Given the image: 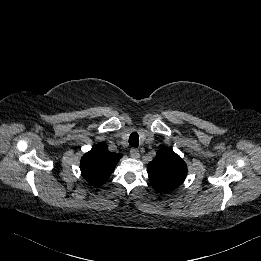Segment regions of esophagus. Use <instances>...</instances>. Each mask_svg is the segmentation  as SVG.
Instances as JSON below:
<instances>
[{"instance_id":"obj_1","label":"esophagus","mask_w":261,"mask_h":261,"mask_svg":"<svg viewBox=\"0 0 261 261\" xmlns=\"http://www.w3.org/2000/svg\"><path fill=\"white\" fill-rule=\"evenodd\" d=\"M130 156H131L132 158H135V159L139 158V157H140L139 150H138L137 148H132V149L130 150Z\"/></svg>"}]
</instances>
